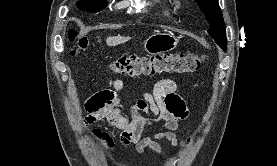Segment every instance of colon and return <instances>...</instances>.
<instances>
[{
	"mask_svg": "<svg viewBox=\"0 0 277 166\" xmlns=\"http://www.w3.org/2000/svg\"><path fill=\"white\" fill-rule=\"evenodd\" d=\"M67 37L73 43L72 54L88 49L89 41L86 38L75 39L73 32H69ZM204 61L205 57L197 53L129 55L113 60L109 64V68L114 73L127 76H147L163 73L186 74L197 71Z\"/></svg>",
	"mask_w": 277,
	"mask_h": 166,
	"instance_id": "colon-1",
	"label": "colon"
}]
</instances>
